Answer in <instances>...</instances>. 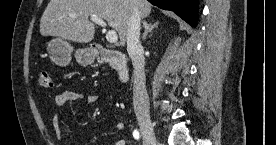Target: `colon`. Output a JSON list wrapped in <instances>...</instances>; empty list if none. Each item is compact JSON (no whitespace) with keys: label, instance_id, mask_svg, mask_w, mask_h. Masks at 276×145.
<instances>
[{"label":"colon","instance_id":"obj_1","mask_svg":"<svg viewBox=\"0 0 276 145\" xmlns=\"http://www.w3.org/2000/svg\"><path fill=\"white\" fill-rule=\"evenodd\" d=\"M37 85L42 89H51L53 87L52 76L48 71H40L37 77Z\"/></svg>","mask_w":276,"mask_h":145}]
</instances>
